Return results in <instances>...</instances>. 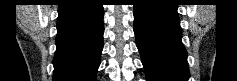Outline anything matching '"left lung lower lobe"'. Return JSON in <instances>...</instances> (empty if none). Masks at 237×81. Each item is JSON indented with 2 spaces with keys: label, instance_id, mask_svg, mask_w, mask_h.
<instances>
[{
  "label": "left lung lower lobe",
  "instance_id": "1",
  "mask_svg": "<svg viewBox=\"0 0 237 81\" xmlns=\"http://www.w3.org/2000/svg\"><path fill=\"white\" fill-rule=\"evenodd\" d=\"M174 0H140L134 5V33L147 81H187V51Z\"/></svg>",
  "mask_w": 237,
  "mask_h": 81
}]
</instances>
